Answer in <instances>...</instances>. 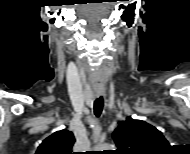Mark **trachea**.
<instances>
[{
  "label": "trachea",
  "mask_w": 190,
  "mask_h": 154,
  "mask_svg": "<svg viewBox=\"0 0 190 154\" xmlns=\"http://www.w3.org/2000/svg\"><path fill=\"white\" fill-rule=\"evenodd\" d=\"M103 110V98L100 96L94 101V114L99 117Z\"/></svg>",
  "instance_id": "3493384b"
}]
</instances>
